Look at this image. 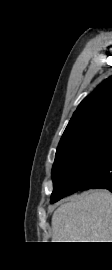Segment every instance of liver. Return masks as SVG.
I'll list each match as a JSON object with an SVG mask.
<instances>
[{
	"mask_svg": "<svg viewBox=\"0 0 112 270\" xmlns=\"http://www.w3.org/2000/svg\"><path fill=\"white\" fill-rule=\"evenodd\" d=\"M53 242H112V193L92 190L70 198L52 216Z\"/></svg>",
	"mask_w": 112,
	"mask_h": 270,
	"instance_id": "obj_1",
	"label": "liver"
}]
</instances>
